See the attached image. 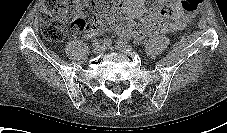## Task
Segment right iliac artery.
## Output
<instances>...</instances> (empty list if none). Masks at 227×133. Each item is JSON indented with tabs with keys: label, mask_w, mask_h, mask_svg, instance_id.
<instances>
[{
	"label": "right iliac artery",
	"mask_w": 227,
	"mask_h": 133,
	"mask_svg": "<svg viewBox=\"0 0 227 133\" xmlns=\"http://www.w3.org/2000/svg\"><path fill=\"white\" fill-rule=\"evenodd\" d=\"M103 45H104L105 47H109V46L111 45V40H110V39H104Z\"/></svg>",
	"instance_id": "1"
}]
</instances>
